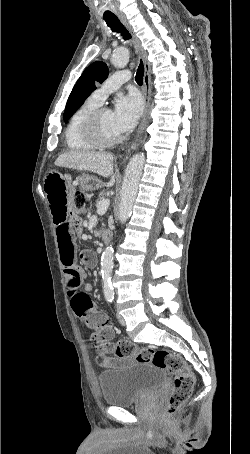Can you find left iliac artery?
<instances>
[{"label":"left iliac artery","instance_id":"obj_1","mask_svg":"<svg viewBox=\"0 0 250 454\" xmlns=\"http://www.w3.org/2000/svg\"><path fill=\"white\" fill-rule=\"evenodd\" d=\"M109 301H111V302H112V301H113V298H112V299H109Z\"/></svg>","mask_w":250,"mask_h":454}]
</instances>
